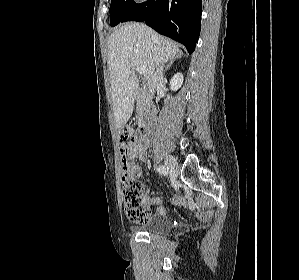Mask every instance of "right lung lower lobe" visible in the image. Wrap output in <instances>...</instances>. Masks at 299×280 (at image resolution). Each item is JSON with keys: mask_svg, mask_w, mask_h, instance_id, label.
Returning <instances> with one entry per match:
<instances>
[{"mask_svg": "<svg viewBox=\"0 0 299 280\" xmlns=\"http://www.w3.org/2000/svg\"><path fill=\"white\" fill-rule=\"evenodd\" d=\"M202 0H148L136 4L126 21H144L158 33L195 50L200 34Z\"/></svg>", "mask_w": 299, "mask_h": 280, "instance_id": "right-lung-lower-lobe-1", "label": "right lung lower lobe"}]
</instances>
